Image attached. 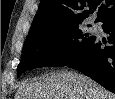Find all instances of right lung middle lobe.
<instances>
[{"label": "right lung middle lobe", "mask_w": 115, "mask_h": 99, "mask_svg": "<svg viewBox=\"0 0 115 99\" xmlns=\"http://www.w3.org/2000/svg\"><path fill=\"white\" fill-rule=\"evenodd\" d=\"M79 24L27 37L17 76L33 68L63 67L74 61L95 37L83 33Z\"/></svg>", "instance_id": "1"}]
</instances>
